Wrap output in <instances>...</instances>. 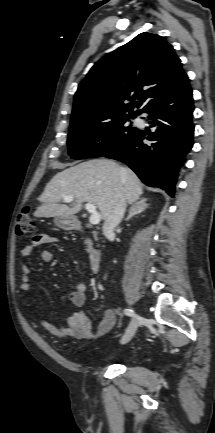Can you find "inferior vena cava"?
<instances>
[{"label":"inferior vena cava","instance_id":"obj_1","mask_svg":"<svg viewBox=\"0 0 215 433\" xmlns=\"http://www.w3.org/2000/svg\"><path fill=\"white\" fill-rule=\"evenodd\" d=\"M123 172V170H122ZM126 210V199L124 197H121L118 202L113 207L111 213L108 215V217L105 219V222L103 224V234L105 236H110L113 234L114 229L116 226L121 222L124 213Z\"/></svg>","mask_w":215,"mask_h":433}]
</instances>
